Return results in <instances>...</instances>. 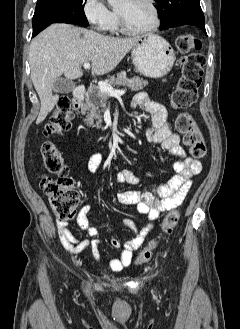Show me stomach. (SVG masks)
<instances>
[{
    "instance_id": "stomach-1",
    "label": "stomach",
    "mask_w": 240,
    "mask_h": 329,
    "mask_svg": "<svg viewBox=\"0 0 240 329\" xmlns=\"http://www.w3.org/2000/svg\"><path fill=\"white\" fill-rule=\"evenodd\" d=\"M131 56L136 70L150 78L165 76L176 59L170 44L154 34L142 37L133 47Z\"/></svg>"
}]
</instances>
